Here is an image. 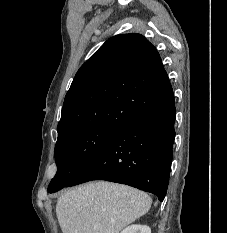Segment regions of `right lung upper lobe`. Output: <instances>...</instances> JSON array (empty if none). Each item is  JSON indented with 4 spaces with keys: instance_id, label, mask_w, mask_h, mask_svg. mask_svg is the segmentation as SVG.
Segmentation results:
<instances>
[{
    "instance_id": "cb5924a9",
    "label": "right lung upper lobe",
    "mask_w": 227,
    "mask_h": 233,
    "mask_svg": "<svg viewBox=\"0 0 227 233\" xmlns=\"http://www.w3.org/2000/svg\"><path fill=\"white\" fill-rule=\"evenodd\" d=\"M172 95L156 48L140 34L116 35L76 73L64 100L58 135L92 126L118 130Z\"/></svg>"
}]
</instances>
